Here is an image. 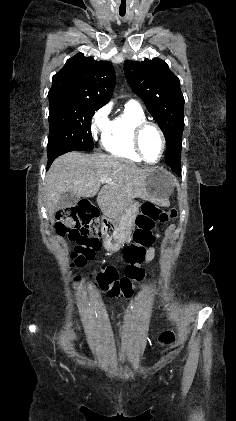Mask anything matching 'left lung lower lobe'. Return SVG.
<instances>
[{"label":"left lung lower lobe","instance_id":"left-lung-lower-lobe-1","mask_svg":"<svg viewBox=\"0 0 236 421\" xmlns=\"http://www.w3.org/2000/svg\"><path fill=\"white\" fill-rule=\"evenodd\" d=\"M170 167L178 176H180V173H181V166L180 165H174V166H170Z\"/></svg>","mask_w":236,"mask_h":421}]
</instances>
